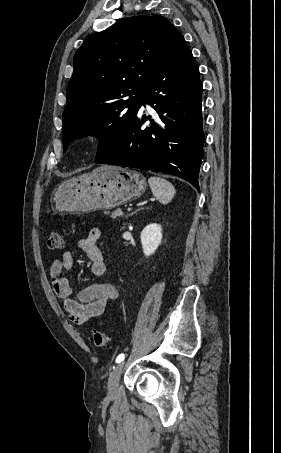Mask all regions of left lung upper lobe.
Segmentation results:
<instances>
[{
  "mask_svg": "<svg viewBox=\"0 0 281 453\" xmlns=\"http://www.w3.org/2000/svg\"><path fill=\"white\" fill-rule=\"evenodd\" d=\"M179 34L162 16H132L85 39L67 88L64 151L93 134L100 139L97 161L119 141Z\"/></svg>",
  "mask_w": 281,
  "mask_h": 453,
  "instance_id": "obj_1",
  "label": "left lung upper lobe"
}]
</instances>
